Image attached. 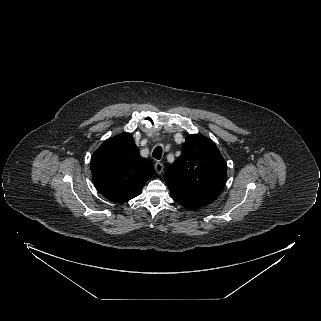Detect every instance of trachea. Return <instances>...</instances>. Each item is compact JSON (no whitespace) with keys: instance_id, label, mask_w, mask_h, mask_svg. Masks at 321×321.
Here are the masks:
<instances>
[{"instance_id":"1","label":"trachea","mask_w":321,"mask_h":321,"mask_svg":"<svg viewBox=\"0 0 321 321\" xmlns=\"http://www.w3.org/2000/svg\"><path fill=\"white\" fill-rule=\"evenodd\" d=\"M152 156H153L155 159L159 160V159L161 158V156H162V147H161V146H157V147L154 149V151H153V153H152Z\"/></svg>"}]
</instances>
